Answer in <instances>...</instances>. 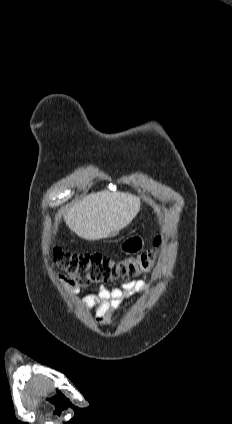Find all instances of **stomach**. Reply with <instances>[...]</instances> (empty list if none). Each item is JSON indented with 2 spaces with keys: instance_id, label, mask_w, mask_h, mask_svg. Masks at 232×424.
Here are the masks:
<instances>
[{
  "instance_id": "0dacf381",
  "label": "stomach",
  "mask_w": 232,
  "mask_h": 424,
  "mask_svg": "<svg viewBox=\"0 0 232 424\" xmlns=\"http://www.w3.org/2000/svg\"><path fill=\"white\" fill-rule=\"evenodd\" d=\"M144 239L140 235L128 237L120 244V251L126 254H135L143 250Z\"/></svg>"
}]
</instances>
